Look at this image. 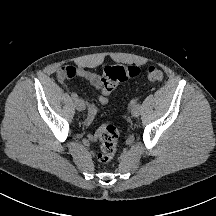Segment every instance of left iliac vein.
<instances>
[{"mask_svg": "<svg viewBox=\"0 0 216 216\" xmlns=\"http://www.w3.org/2000/svg\"><path fill=\"white\" fill-rule=\"evenodd\" d=\"M131 114L134 117H138L140 114V106L139 105L133 106L131 109Z\"/></svg>", "mask_w": 216, "mask_h": 216, "instance_id": "obj_1", "label": "left iliac vein"}]
</instances>
